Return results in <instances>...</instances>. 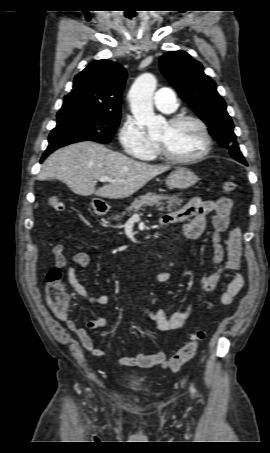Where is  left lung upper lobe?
I'll return each mask as SVG.
<instances>
[{
	"mask_svg": "<svg viewBox=\"0 0 270 453\" xmlns=\"http://www.w3.org/2000/svg\"><path fill=\"white\" fill-rule=\"evenodd\" d=\"M159 66L180 97L208 125L214 139L228 148L231 156L247 165L239 150L233 122L226 103L216 90V83L203 72V66L184 51L164 54Z\"/></svg>",
	"mask_w": 270,
	"mask_h": 453,
	"instance_id": "obj_1",
	"label": "left lung upper lobe"
}]
</instances>
